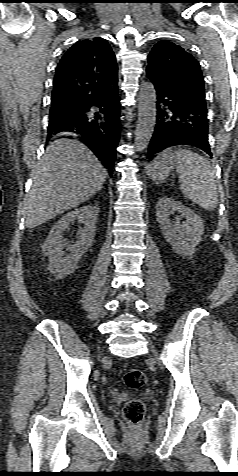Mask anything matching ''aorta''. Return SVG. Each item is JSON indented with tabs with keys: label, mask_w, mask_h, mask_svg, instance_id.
<instances>
[{
	"label": "aorta",
	"mask_w": 238,
	"mask_h": 476,
	"mask_svg": "<svg viewBox=\"0 0 238 476\" xmlns=\"http://www.w3.org/2000/svg\"><path fill=\"white\" fill-rule=\"evenodd\" d=\"M138 122L135 132L137 152L147 148L156 123V91L151 82H143L139 92Z\"/></svg>",
	"instance_id": "1"
}]
</instances>
